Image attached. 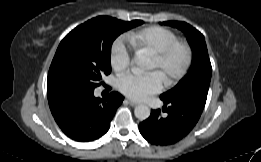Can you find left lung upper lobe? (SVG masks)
Here are the masks:
<instances>
[{"label": "left lung upper lobe", "mask_w": 261, "mask_h": 162, "mask_svg": "<svg viewBox=\"0 0 261 162\" xmlns=\"http://www.w3.org/2000/svg\"><path fill=\"white\" fill-rule=\"evenodd\" d=\"M166 25L176 27L187 34V41L192 49L193 59L188 74L171 90L161 95L171 99L180 94H190L206 101L212 75L204 36L191 25L180 21H166Z\"/></svg>", "instance_id": "5c2ea615"}]
</instances>
